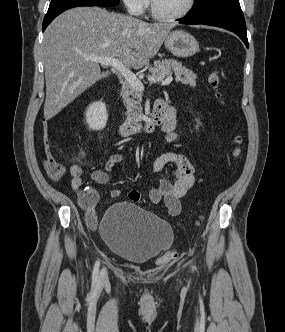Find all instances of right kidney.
<instances>
[{"label": "right kidney", "instance_id": "right-kidney-1", "mask_svg": "<svg viewBox=\"0 0 285 332\" xmlns=\"http://www.w3.org/2000/svg\"><path fill=\"white\" fill-rule=\"evenodd\" d=\"M108 114L105 103L94 102L87 108L86 122L92 130H102L107 123Z\"/></svg>", "mask_w": 285, "mask_h": 332}]
</instances>
